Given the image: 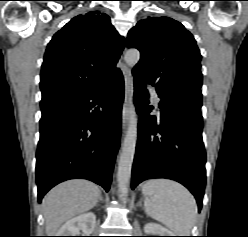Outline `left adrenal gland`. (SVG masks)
I'll list each match as a JSON object with an SVG mask.
<instances>
[{
    "label": "left adrenal gland",
    "mask_w": 248,
    "mask_h": 237,
    "mask_svg": "<svg viewBox=\"0 0 248 237\" xmlns=\"http://www.w3.org/2000/svg\"><path fill=\"white\" fill-rule=\"evenodd\" d=\"M137 206L142 207V201L141 200L138 202Z\"/></svg>",
    "instance_id": "a2214340"
}]
</instances>
